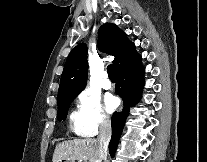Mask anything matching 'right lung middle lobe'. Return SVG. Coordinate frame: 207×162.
<instances>
[{"label": "right lung middle lobe", "instance_id": "1", "mask_svg": "<svg viewBox=\"0 0 207 162\" xmlns=\"http://www.w3.org/2000/svg\"><path fill=\"white\" fill-rule=\"evenodd\" d=\"M76 96L63 97L58 99V119L65 120L68 108Z\"/></svg>", "mask_w": 207, "mask_h": 162}]
</instances>
